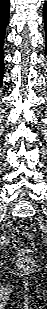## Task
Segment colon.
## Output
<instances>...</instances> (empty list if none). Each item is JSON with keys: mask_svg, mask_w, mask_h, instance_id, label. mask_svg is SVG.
I'll use <instances>...</instances> for the list:
<instances>
[{"mask_svg": "<svg viewBox=\"0 0 47 309\" xmlns=\"http://www.w3.org/2000/svg\"><path fill=\"white\" fill-rule=\"evenodd\" d=\"M13 246L17 254V264L23 270L34 267V260L30 253L34 247V241L30 229L25 225L17 226L12 235Z\"/></svg>", "mask_w": 47, "mask_h": 309, "instance_id": "obj_1", "label": "colon"}]
</instances>
